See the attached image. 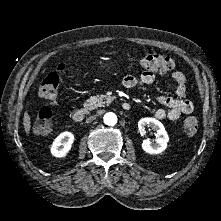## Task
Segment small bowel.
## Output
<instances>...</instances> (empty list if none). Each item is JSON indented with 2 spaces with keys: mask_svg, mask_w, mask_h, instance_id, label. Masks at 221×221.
Wrapping results in <instances>:
<instances>
[{
  "mask_svg": "<svg viewBox=\"0 0 221 221\" xmlns=\"http://www.w3.org/2000/svg\"><path fill=\"white\" fill-rule=\"evenodd\" d=\"M171 77L174 83L175 96L158 97L161 107L154 111L153 116L159 120H175L194 111L192 101L186 98V75L182 71L175 70L171 73ZM154 79L155 75L149 72H144L140 77L127 75L123 78L122 85L127 89H132L150 84Z\"/></svg>",
  "mask_w": 221,
  "mask_h": 221,
  "instance_id": "small-bowel-1",
  "label": "small bowel"
}]
</instances>
